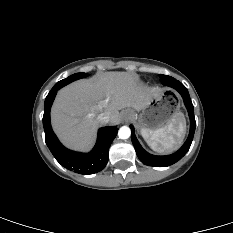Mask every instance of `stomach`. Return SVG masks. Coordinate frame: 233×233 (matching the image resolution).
I'll use <instances>...</instances> for the list:
<instances>
[{
  "label": "stomach",
  "instance_id": "stomach-1",
  "mask_svg": "<svg viewBox=\"0 0 233 233\" xmlns=\"http://www.w3.org/2000/svg\"><path fill=\"white\" fill-rule=\"evenodd\" d=\"M180 94L171 88L161 90L146 106L141 109H127L129 119L142 130H156L167 125L180 109Z\"/></svg>",
  "mask_w": 233,
  "mask_h": 233
}]
</instances>
